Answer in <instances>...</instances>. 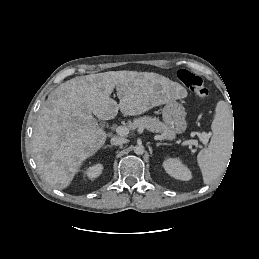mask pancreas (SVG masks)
<instances>
[{"instance_id": "1", "label": "pancreas", "mask_w": 259, "mask_h": 259, "mask_svg": "<svg viewBox=\"0 0 259 259\" xmlns=\"http://www.w3.org/2000/svg\"><path fill=\"white\" fill-rule=\"evenodd\" d=\"M129 128H143L152 132L160 133L162 139L166 140H172L175 137V133L166 124L161 122L158 118H152L149 116L134 119L133 122H129Z\"/></svg>"}]
</instances>
